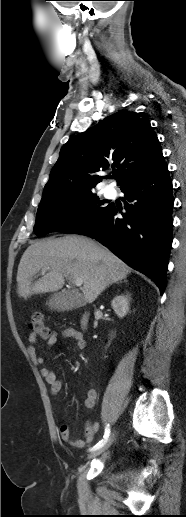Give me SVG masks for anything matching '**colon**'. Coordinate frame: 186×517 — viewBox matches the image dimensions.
<instances>
[{
  "instance_id": "1",
  "label": "colon",
  "mask_w": 186,
  "mask_h": 517,
  "mask_svg": "<svg viewBox=\"0 0 186 517\" xmlns=\"http://www.w3.org/2000/svg\"><path fill=\"white\" fill-rule=\"evenodd\" d=\"M29 327L32 335L42 338L49 337V330L42 314L34 313L31 317Z\"/></svg>"
}]
</instances>
